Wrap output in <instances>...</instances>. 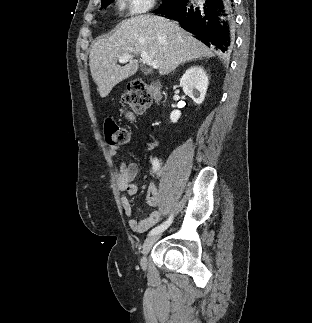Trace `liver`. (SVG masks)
<instances>
[{
	"mask_svg": "<svg viewBox=\"0 0 312 323\" xmlns=\"http://www.w3.org/2000/svg\"><path fill=\"white\" fill-rule=\"evenodd\" d=\"M146 52L153 62H158L160 76L170 74L180 64L214 56L211 48L193 38V34L162 16H134L123 20L111 36L95 42L89 56L91 76L98 86L101 98H106L112 88L136 74L137 54ZM121 56H130L129 64H116Z\"/></svg>",
	"mask_w": 312,
	"mask_h": 323,
	"instance_id": "6515ba94",
	"label": "liver"
}]
</instances>
